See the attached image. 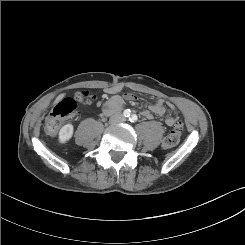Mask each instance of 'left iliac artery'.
Masks as SVG:
<instances>
[{"label": "left iliac artery", "instance_id": "1", "mask_svg": "<svg viewBox=\"0 0 245 245\" xmlns=\"http://www.w3.org/2000/svg\"><path fill=\"white\" fill-rule=\"evenodd\" d=\"M130 122H136L138 120V117L136 114L131 115V117L129 118Z\"/></svg>", "mask_w": 245, "mask_h": 245}]
</instances>
